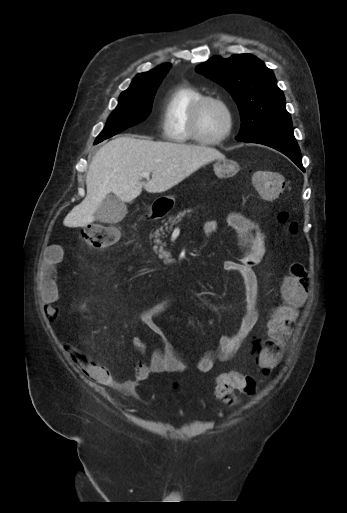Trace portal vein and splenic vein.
Listing matches in <instances>:
<instances>
[{"label": "portal vein and splenic vein", "mask_w": 347, "mask_h": 513, "mask_svg": "<svg viewBox=\"0 0 347 513\" xmlns=\"http://www.w3.org/2000/svg\"><path fill=\"white\" fill-rule=\"evenodd\" d=\"M149 176H150V173H149V172H143V173L141 174V177L146 178V179H149Z\"/></svg>", "instance_id": "18ae733b"}]
</instances>
